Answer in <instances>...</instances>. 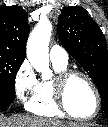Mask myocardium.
<instances>
[{
  "label": "myocardium",
  "mask_w": 108,
  "mask_h": 127,
  "mask_svg": "<svg viewBox=\"0 0 108 127\" xmlns=\"http://www.w3.org/2000/svg\"><path fill=\"white\" fill-rule=\"evenodd\" d=\"M75 77L83 78L90 85L91 89L94 92L96 98V107L94 112L90 116L87 117L78 116L74 114L67 105V101H66L67 87L70 81ZM54 90H55V100L58 108L65 115L73 119L80 120V121H89L94 119L100 111L101 108L100 92L93 79L85 72H82L80 70H74V69H67L65 71L60 72L59 74H57V76L54 79Z\"/></svg>",
  "instance_id": "1"
}]
</instances>
